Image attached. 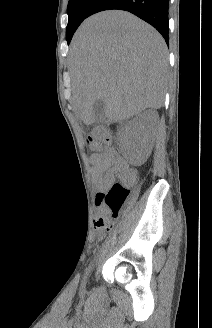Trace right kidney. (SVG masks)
Returning <instances> with one entry per match:
<instances>
[{
  "label": "right kidney",
  "mask_w": 212,
  "mask_h": 328,
  "mask_svg": "<svg viewBox=\"0 0 212 328\" xmlns=\"http://www.w3.org/2000/svg\"><path fill=\"white\" fill-rule=\"evenodd\" d=\"M158 123L159 115L155 110L144 111L126 123L123 129L134 152L142 150L149 136L155 133Z\"/></svg>",
  "instance_id": "right-kidney-1"
}]
</instances>
